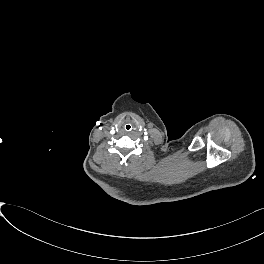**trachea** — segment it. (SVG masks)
Here are the masks:
<instances>
[{
	"label": "trachea",
	"mask_w": 264,
	"mask_h": 264,
	"mask_svg": "<svg viewBox=\"0 0 264 264\" xmlns=\"http://www.w3.org/2000/svg\"><path fill=\"white\" fill-rule=\"evenodd\" d=\"M132 129H133V125H132V123H130V122H125L124 124H123V130H124V132H130V131H132Z\"/></svg>",
	"instance_id": "obj_1"
}]
</instances>
